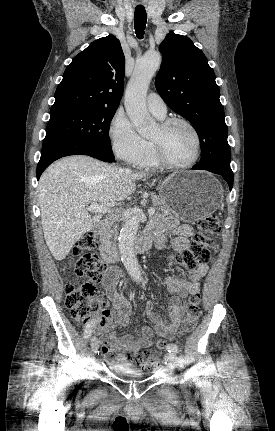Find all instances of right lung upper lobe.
I'll return each mask as SVG.
<instances>
[{
	"label": "right lung upper lobe",
	"mask_w": 275,
	"mask_h": 431,
	"mask_svg": "<svg viewBox=\"0 0 275 431\" xmlns=\"http://www.w3.org/2000/svg\"><path fill=\"white\" fill-rule=\"evenodd\" d=\"M125 57L113 35L92 42L67 66L50 113L77 108H118Z\"/></svg>",
	"instance_id": "cb5924a9"
}]
</instances>
